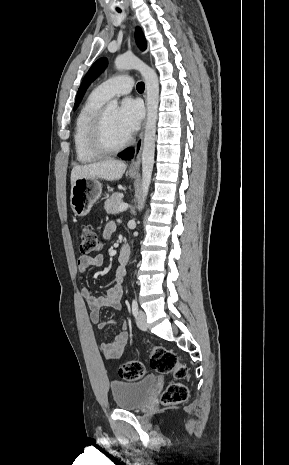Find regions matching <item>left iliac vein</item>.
I'll list each match as a JSON object with an SVG mask.
<instances>
[{"label": "left iliac vein", "instance_id": "4c4485c4", "mask_svg": "<svg viewBox=\"0 0 289 465\" xmlns=\"http://www.w3.org/2000/svg\"><path fill=\"white\" fill-rule=\"evenodd\" d=\"M136 324L141 330L143 331L147 330V318H146V314L144 313V311L140 310L137 313Z\"/></svg>", "mask_w": 289, "mask_h": 465}]
</instances>
